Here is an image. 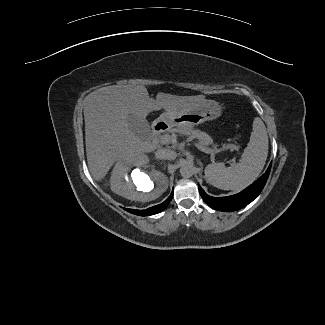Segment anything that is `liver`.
<instances>
[{
    "label": "liver",
    "mask_w": 325,
    "mask_h": 325,
    "mask_svg": "<svg viewBox=\"0 0 325 325\" xmlns=\"http://www.w3.org/2000/svg\"><path fill=\"white\" fill-rule=\"evenodd\" d=\"M205 101L204 95L177 96L158 93L149 97L144 85H113L93 91L85 98V144L88 167L93 178L101 181L115 162L129 163L156 150L159 145L142 140L129 127L130 114L145 119L154 111H188ZM191 127L180 126L181 135Z\"/></svg>",
    "instance_id": "6515ba94"
}]
</instances>
